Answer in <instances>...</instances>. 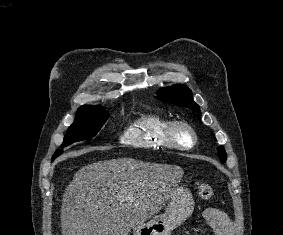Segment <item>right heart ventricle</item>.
<instances>
[{
    "instance_id": "right-heart-ventricle-1",
    "label": "right heart ventricle",
    "mask_w": 283,
    "mask_h": 235,
    "mask_svg": "<svg viewBox=\"0 0 283 235\" xmlns=\"http://www.w3.org/2000/svg\"><path fill=\"white\" fill-rule=\"evenodd\" d=\"M171 120L157 113H146L130 124L123 135L127 145L147 149H168L166 130Z\"/></svg>"
}]
</instances>
